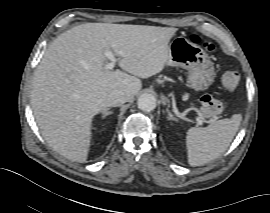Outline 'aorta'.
<instances>
[{
    "instance_id": "762f6f07",
    "label": "aorta",
    "mask_w": 270,
    "mask_h": 213,
    "mask_svg": "<svg viewBox=\"0 0 270 213\" xmlns=\"http://www.w3.org/2000/svg\"><path fill=\"white\" fill-rule=\"evenodd\" d=\"M137 105L139 109L150 112L156 107V98L152 94L144 93L138 98Z\"/></svg>"
}]
</instances>
